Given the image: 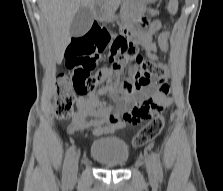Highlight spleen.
Masks as SVG:
<instances>
[{
    "mask_svg": "<svg viewBox=\"0 0 223 191\" xmlns=\"http://www.w3.org/2000/svg\"><path fill=\"white\" fill-rule=\"evenodd\" d=\"M178 8V1L177 0H170L169 10L171 13H176Z\"/></svg>",
    "mask_w": 223,
    "mask_h": 191,
    "instance_id": "obj_1",
    "label": "spleen"
}]
</instances>
